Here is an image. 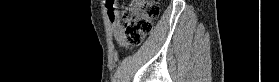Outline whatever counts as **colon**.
<instances>
[{"mask_svg": "<svg viewBox=\"0 0 279 82\" xmlns=\"http://www.w3.org/2000/svg\"><path fill=\"white\" fill-rule=\"evenodd\" d=\"M117 16L124 29L127 45H140L153 28V22L160 14L158 2L155 0H124Z\"/></svg>", "mask_w": 279, "mask_h": 82, "instance_id": "5ec220e1", "label": "colon"}]
</instances>
